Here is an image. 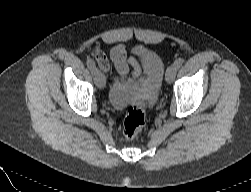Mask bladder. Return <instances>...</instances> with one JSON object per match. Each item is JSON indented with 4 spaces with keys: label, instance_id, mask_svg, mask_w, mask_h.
<instances>
[{
    "label": "bladder",
    "instance_id": "bladder-1",
    "mask_svg": "<svg viewBox=\"0 0 251 192\" xmlns=\"http://www.w3.org/2000/svg\"><path fill=\"white\" fill-rule=\"evenodd\" d=\"M144 77L136 84L113 80L108 90V100L117 110L124 109L135 102L152 106L155 104L165 72V64L161 56L143 49Z\"/></svg>",
    "mask_w": 251,
    "mask_h": 192
}]
</instances>
